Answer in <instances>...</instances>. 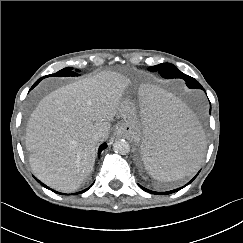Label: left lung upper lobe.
Instances as JSON below:
<instances>
[{
  "label": "left lung upper lobe",
  "mask_w": 243,
  "mask_h": 243,
  "mask_svg": "<svg viewBox=\"0 0 243 243\" xmlns=\"http://www.w3.org/2000/svg\"><path fill=\"white\" fill-rule=\"evenodd\" d=\"M148 70L152 72L158 71L164 78H182L186 81V84L191 83L193 85H199V82H197L194 78L182 73L170 63H162L156 66H151Z\"/></svg>",
  "instance_id": "1"
}]
</instances>
